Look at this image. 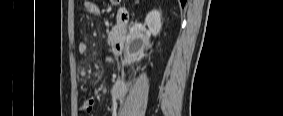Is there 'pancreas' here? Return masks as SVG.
<instances>
[{
	"mask_svg": "<svg viewBox=\"0 0 283 116\" xmlns=\"http://www.w3.org/2000/svg\"><path fill=\"white\" fill-rule=\"evenodd\" d=\"M124 32H119V29L115 26L112 31L108 34V44L112 45L119 34H123Z\"/></svg>",
	"mask_w": 283,
	"mask_h": 116,
	"instance_id": "cf45deb5",
	"label": "pancreas"
}]
</instances>
